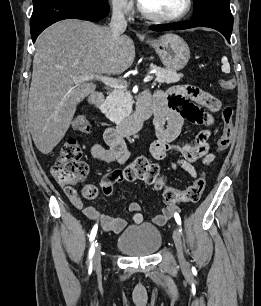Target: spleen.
Returning a JSON list of instances; mask_svg holds the SVG:
<instances>
[{
    "label": "spleen",
    "instance_id": "obj_1",
    "mask_svg": "<svg viewBox=\"0 0 261 306\" xmlns=\"http://www.w3.org/2000/svg\"><path fill=\"white\" fill-rule=\"evenodd\" d=\"M221 62H222V71L225 73H230V65L228 63L227 57H223Z\"/></svg>",
    "mask_w": 261,
    "mask_h": 306
}]
</instances>
